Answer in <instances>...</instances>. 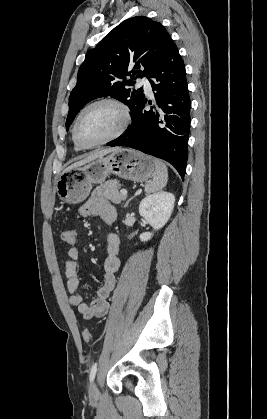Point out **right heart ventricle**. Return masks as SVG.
Segmentation results:
<instances>
[{"label":"right heart ventricle","instance_id":"e07e8e85","mask_svg":"<svg viewBox=\"0 0 267 419\" xmlns=\"http://www.w3.org/2000/svg\"><path fill=\"white\" fill-rule=\"evenodd\" d=\"M74 147H75V149L77 150V151H79V150H81L82 148H80L77 144H76V142L74 141Z\"/></svg>","mask_w":267,"mask_h":419}]
</instances>
